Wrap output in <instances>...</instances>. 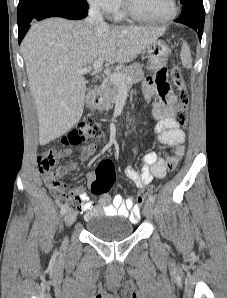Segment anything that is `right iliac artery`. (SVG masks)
<instances>
[{"label":"right iliac artery","mask_w":227,"mask_h":298,"mask_svg":"<svg viewBox=\"0 0 227 298\" xmlns=\"http://www.w3.org/2000/svg\"><path fill=\"white\" fill-rule=\"evenodd\" d=\"M69 209V205L67 203H65L64 205H62L61 207V211H60V214L63 216L67 210Z\"/></svg>","instance_id":"1"}]
</instances>
